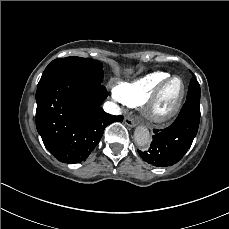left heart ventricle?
<instances>
[{
    "label": "left heart ventricle",
    "mask_w": 229,
    "mask_h": 229,
    "mask_svg": "<svg viewBox=\"0 0 229 229\" xmlns=\"http://www.w3.org/2000/svg\"><path fill=\"white\" fill-rule=\"evenodd\" d=\"M182 84L179 80H175L170 87H167L161 93V99L158 101V108L161 111H168L178 101L182 94Z\"/></svg>",
    "instance_id": "b2bd125f"
}]
</instances>
